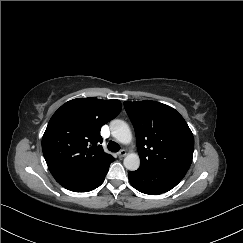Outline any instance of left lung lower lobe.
<instances>
[{
  "mask_svg": "<svg viewBox=\"0 0 243 243\" xmlns=\"http://www.w3.org/2000/svg\"><path fill=\"white\" fill-rule=\"evenodd\" d=\"M189 167L187 166H168L147 171L129 172V181L138 191L158 195L174 188L185 176Z\"/></svg>",
  "mask_w": 243,
  "mask_h": 243,
  "instance_id": "left-lung-lower-lobe-1",
  "label": "left lung lower lobe"
}]
</instances>
